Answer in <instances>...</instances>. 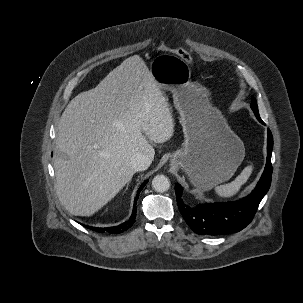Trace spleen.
<instances>
[{
    "label": "spleen",
    "mask_w": 303,
    "mask_h": 303,
    "mask_svg": "<svg viewBox=\"0 0 303 303\" xmlns=\"http://www.w3.org/2000/svg\"><path fill=\"white\" fill-rule=\"evenodd\" d=\"M252 169L253 168L251 165L247 166L234 181L215 187L216 194L222 198H230L234 196L239 191L241 186L247 182L252 173Z\"/></svg>",
    "instance_id": "obj_1"
}]
</instances>
